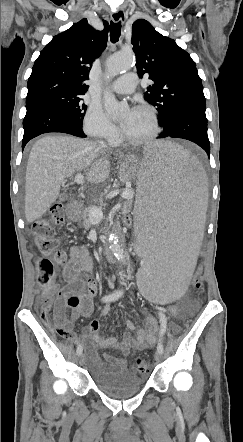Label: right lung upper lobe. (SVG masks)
<instances>
[{
  "mask_svg": "<svg viewBox=\"0 0 243 442\" xmlns=\"http://www.w3.org/2000/svg\"><path fill=\"white\" fill-rule=\"evenodd\" d=\"M105 29H93L82 19L68 30L53 37L41 51L28 79V94L32 98L50 90H65L85 94L89 71L100 56L108 39Z\"/></svg>",
  "mask_w": 243,
  "mask_h": 442,
  "instance_id": "cb5924a9",
  "label": "right lung upper lobe"
}]
</instances>
